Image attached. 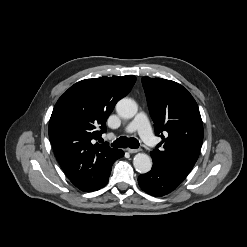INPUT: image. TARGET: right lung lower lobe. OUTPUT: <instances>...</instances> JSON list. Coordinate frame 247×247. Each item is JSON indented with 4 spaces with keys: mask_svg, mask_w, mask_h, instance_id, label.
<instances>
[{
    "mask_svg": "<svg viewBox=\"0 0 247 247\" xmlns=\"http://www.w3.org/2000/svg\"><path fill=\"white\" fill-rule=\"evenodd\" d=\"M123 155H124V152L122 151V150H120L118 153H117V155H116V160L118 159V158H121V157H123ZM111 172V171H110ZM110 172H109V174L107 175V177L94 189V190H92V191H95V190H99L101 187H104L106 184H107V182H108V178H109V176H110Z\"/></svg>",
    "mask_w": 247,
    "mask_h": 247,
    "instance_id": "right-lung-lower-lobe-1",
    "label": "right lung lower lobe"
}]
</instances>
